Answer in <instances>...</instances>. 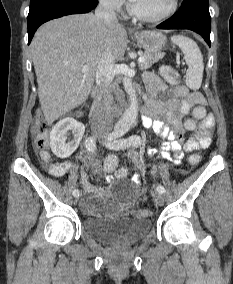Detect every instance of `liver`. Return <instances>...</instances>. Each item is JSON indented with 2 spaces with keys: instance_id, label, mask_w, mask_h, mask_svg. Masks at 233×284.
Instances as JSON below:
<instances>
[{
  "instance_id": "6515ba94",
  "label": "liver",
  "mask_w": 233,
  "mask_h": 284,
  "mask_svg": "<svg viewBox=\"0 0 233 284\" xmlns=\"http://www.w3.org/2000/svg\"><path fill=\"white\" fill-rule=\"evenodd\" d=\"M126 31L94 14L69 15L42 25L31 43L39 101L47 123L84 103L105 52L123 57ZM87 65L88 71L82 72Z\"/></svg>"
}]
</instances>
